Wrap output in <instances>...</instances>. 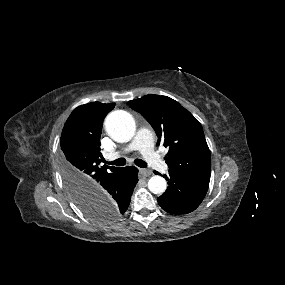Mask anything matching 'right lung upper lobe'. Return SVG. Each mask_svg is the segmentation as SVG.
<instances>
[{
    "label": "right lung upper lobe",
    "instance_id": "obj_1",
    "mask_svg": "<svg viewBox=\"0 0 285 285\" xmlns=\"http://www.w3.org/2000/svg\"><path fill=\"white\" fill-rule=\"evenodd\" d=\"M114 107V103L99 102L81 105L71 113L62 130V170L66 169L69 182L76 186L80 197L94 198V188L99 182L121 169L99 166L102 159L100 136L103 119Z\"/></svg>",
    "mask_w": 285,
    "mask_h": 285
}]
</instances>
